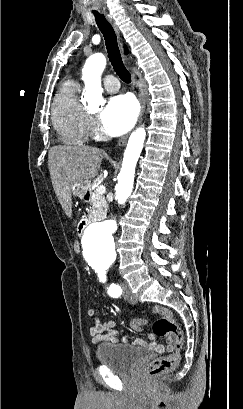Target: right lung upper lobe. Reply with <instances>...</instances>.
Segmentation results:
<instances>
[{"instance_id":"right-lung-upper-lobe-1","label":"right lung upper lobe","mask_w":243,"mask_h":409,"mask_svg":"<svg viewBox=\"0 0 243 409\" xmlns=\"http://www.w3.org/2000/svg\"><path fill=\"white\" fill-rule=\"evenodd\" d=\"M127 52H128L127 47H125V53H127Z\"/></svg>"}]
</instances>
